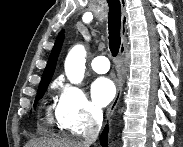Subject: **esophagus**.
Masks as SVG:
<instances>
[{"label": "esophagus", "instance_id": "esophagus-1", "mask_svg": "<svg viewBox=\"0 0 183 147\" xmlns=\"http://www.w3.org/2000/svg\"><path fill=\"white\" fill-rule=\"evenodd\" d=\"M122 17H121V47L120 56L123 58L126 52V34H127V15L125 12V1L121 0ZM122 94V84H118L114 100L112 101L108 111L107 118L110 117L116 109Z\"/></svg>", "mask_w": 183, "mask_h": 147}]
</instances>
